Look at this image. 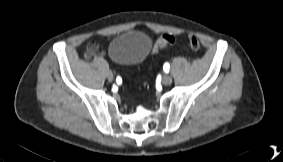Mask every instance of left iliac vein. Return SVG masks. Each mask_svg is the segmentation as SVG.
<instances>
[{"label":"left iliac vein","mask_w":283,"mask_h":162,"mask_svg":"<svg viewBox=\"0 0 283 162\" xmlns=\"http://www.w3.org/2000/svg\"><path fill=\"white\" fill-rule=\"evenodd\" d=\"M162 83L166 86L171 85L172 83V78L168 75H165L162 79Z\"/></svg>","instance_id":"4c4485c4"}]
</instances>
